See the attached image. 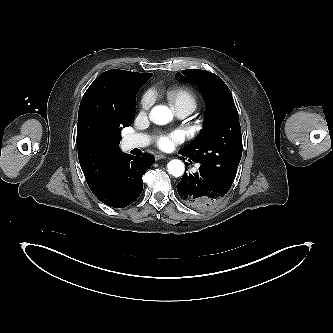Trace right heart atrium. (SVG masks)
<instances>
[{
  "mask_svg": "<svg viewBox=\"0 0 333 333\" xmlns=\"http://www.w3.org/2000/svg\"><path fill=\"white\" fill-rule=\"evenodd\" d=\"M153 100H154V97L151 92H147L146 94H144V96L141 99V103H140L141 111L142 112L147 111L153 104Z\"/></svg>",
  "mask_w": 333,
  "mask_h": 333,
  "instance_id": "obj_1",
  "label": "right heart atrium"
}]
</instances>
